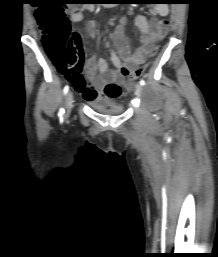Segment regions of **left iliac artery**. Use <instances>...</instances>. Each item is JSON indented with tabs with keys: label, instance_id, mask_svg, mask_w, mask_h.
<instances>
[{
	"label": "left iliac artery",
	"instance_id": "left-iliac-artery-1",
	"mask_svg": "<svg viewBox=\"0 0 218 257\" xmlns=\"http://www.w3.org/2000/svg\"><path fill=\"white\" fill-rule=\"evenodd\" d=\"M140 84H141L142 86H144V85H145V81H144L143 79H141V80H140Z\"/></svg>",
	"mask_w": 218,
	"mask_h": 257
}]
</instances>
